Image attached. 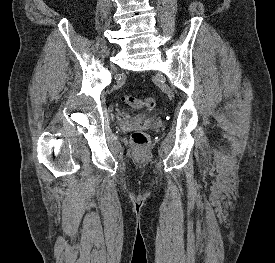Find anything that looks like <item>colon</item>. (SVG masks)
I'll use <instances>...</instances> for the list:
<instances>
[{"label": "colon", "instance_id": "obj_1", "mask_svg": "<svg viewBox=\"0 0 275 263\" xmlns=\"http://www.w3.org/2000/svg\"><path fill=\"white\" fill-rule=\"evenodd\" d=\"M123 100L127 105L133 108L141 109L145 112H152L156 107V100L152 97L138 99L133 95H125ZM149 140V135L143 131L134 132L132 135V143L138 147L148 145Z\"/></svg>", "mask_w": 275, "mask_h": 263}]
</instances>
